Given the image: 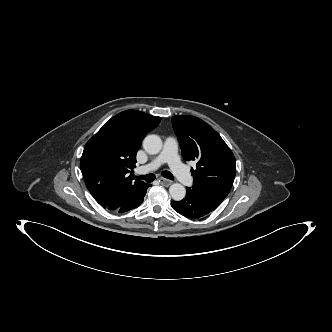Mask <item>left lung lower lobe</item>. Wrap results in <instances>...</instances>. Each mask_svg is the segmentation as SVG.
I'll list each match as a JSON object with an SVG mask.
<instances>
[{
    "instance_id": "0a47b994",
    "label": "left lung lower lobe",
    "mask_w": 332,
    "mask_h": 332,
    "mask_svg": "<svg viewBox=\"0 0 332 332\" xmlns=\"http://www.w3.org/2000/svg\"><path fill=\"white\" fill-rule=\"evenodd\" d=\"M172 208L187 218H200L214 211L217 206L187 190L181 201H172Z\"/></svg>"
}]
</instances>
